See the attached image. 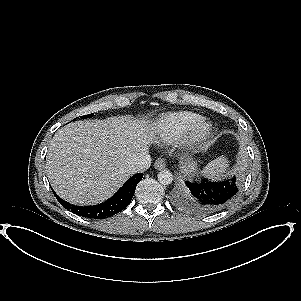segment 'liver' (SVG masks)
I'll return each mask as SVG.
<instances>
[{"instance_id":"6515ba94","label":"liver","mask_w":301,"mask_h":301,"mask_svg":"<svg viewBox=\"0 0 301 301\" xmlns=\"http://www.w3.org/2000/svg\"><path fill=\"white\" fill-rule=\"evenodd\" d=\"M156 131L125 117L76 121L56 132L46 157L55 192L75 205H94L111 197L148 154Z\"/></svg>"}]
</instances>
